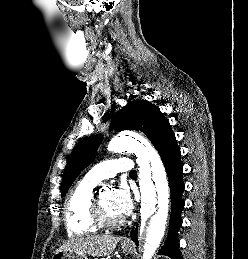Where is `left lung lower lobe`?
<instances>
[{
	"instance_id": "0a47b994",
	"label": "left lung lower lobe",
	"mask_w": 248,
	"mask_h": 259,
	"mask_svg": "<svg viewBox=\"0 0 248 259\" xmlns=\"http://www.w3.org/2000/svg\"><path fill=\"white\" fill-rule=\"evenodd\" d=\"M158 152L165 166L171 190V215L168 236L158 254L167 255L171 259H181L177 235L178 229L182 225L180 214L184 208V201L182 200V192L184 191V183L182 181L183 166L180 161V149L177 146L176 140H174L161 147ZM130 236L133 241H136L137 235L134 230L131 231ZM136 244L138 243L136 242Z\"/></svg>"
}]
</instances>
